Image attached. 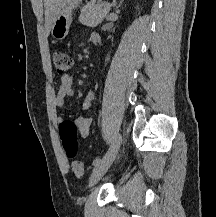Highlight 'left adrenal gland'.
<instances>
[{
  "instance_id": "left-adrenal-gland-1",
  "label": "left adrenal gland",
  "mask_w": 216,
  "mask_h": 217,
  "mask_svg": "<svg viewBox=\"0 0 216 217\" xmlns=\"http://www.w3.org/2000/svg\"><path fill=\"white\" fill-rule=\"evenodd\" d=\"M124 0H120L119 4L115 6L116 11H118V8L122 5Z\"/></svg>"
}]
</instances>
